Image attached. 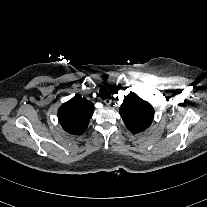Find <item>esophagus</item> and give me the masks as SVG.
<instances>
[{"instance_id":"esophagus-1","label":"esophagus","mask_w":207,"mask_h":207,"mask_svg":"<svg viewBox=\"0 0 207 207\" xmlns=\"http://www.w3.org/2000/svg\"><path fill=\"white\" fill-rule=\"evenodd\" d=\"M111 102H112V100H111L110 98H106V99H104V103H105L106 105H110Z\"/></svg>"}]
</instances>
